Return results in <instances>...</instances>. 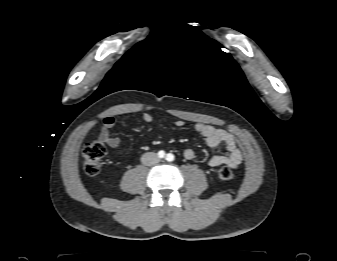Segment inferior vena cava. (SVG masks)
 <instances>
[{"label": "inferior vena cava", "instance_id": "obj_1", "mask_svg": "<svg viewBox=\"0 0 337 261\" xmlns=\"http://www.w3.org/2000/svg\"><path fill=\"white\" fill-rule=\"evenodd\" d=\"M141 162L143 165L152 166L159 162V158L156 153L147 152L142 155Z\"/></svg>", "mask_w": 337, "mask_h": 261}]
</instances>
